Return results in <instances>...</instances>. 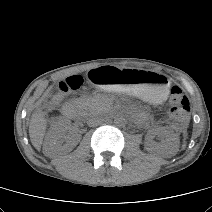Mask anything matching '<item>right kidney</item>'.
<instances>
[{
	"label": "right kidney",
	"instance_id": "1",
	"mask_svg": "<svg viewBox=\"0 0 212 212\" xmlns=\"http://www.w3.org/2000/svg\"><path fill=\"white\" fill-rule=\"evenodd\" d=\"M63 131L62 125L56 123L48 132L43 145V153L45 156L53 158L68 153L78 144L81 137L77 134H72L60 140Z\"/></svg>",
	"mask_w": 212,
	"mask_h": 212
}]
</instances>
